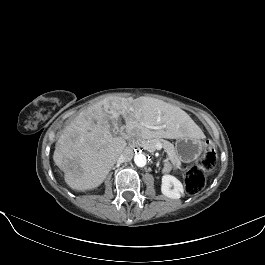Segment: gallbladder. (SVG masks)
Masks as SVG:
<instances>
[{"mask_svg": "<svg viewBox=\"0 0 265 265\" xmlns=\"http://www.w3.org/2000/svg\"><path fill=\"white\" fill-rule=\"evenodd\" d=\"M114 123H115V126H113V133H114L115 135H117V134H118V131H117V124L119 123L118 119H115V120H114Z\"/></svg>", "mask_w": 265, "mask_h": 265, "instance_id": "gallbladder-1", "label": "gallbladder"}]
</instances>
